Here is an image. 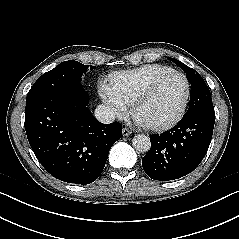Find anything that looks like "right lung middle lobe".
I'll list each match as a JSON object with an SVG mask.
<instances>
[{
    "instance_id": "right-lung-middle-lobe-1",
    "label": "right lung middle lobe",
    "mask_w": 239,
    "mask_h": 239,
    "mask_svg": "<svg viewBox=\"0 0 239 239\" xmlns=\"http://www.w3.org/2000/svg\"><path fill=\"white\" fill-rule=\"evenodd\" d=\"M89 66L78 61L69 60L60 63L54 69L44 73L31 87L26 99L51 92L83 90L81 77ZM95 66H90L94 69Z\"/></svg>"
}]
</instances>
